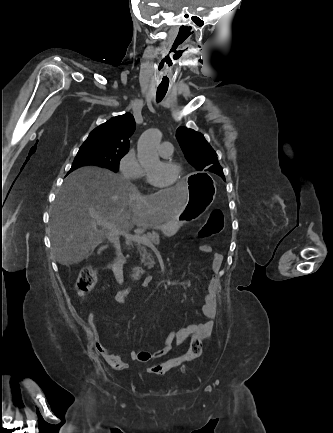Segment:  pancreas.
Wrapping results in <instances>:
<instances>
[{
    "label": "pancreas",
    "mask_w": 333,
    "mask_h": 433,
    "mask_svg": "<svg viewBox=\"0 0 333 433\" xmlns=\"http://www.w3.org/2000/svg\"><path fill=\"white\" fill-rule=\"evenodd\" d=\"M146 237L152 245H158L160 242L159 234L155 231L149 232L146 235ZM136 246H137V252L140 254L141 257V262L145 264L148 255L145 246H149V245L136 242Z\"/></svg>",
    "instance_id": "cf45deb5"
}]
</instances>
